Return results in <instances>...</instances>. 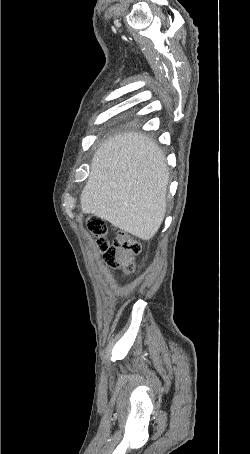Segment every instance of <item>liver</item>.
<instances>
[{
  "label": "liver",
  "instance_id": "6515ba94",
  "mask_svg": "<svg viewBox=\"0 0 250 454\" xmlns=\"http://www.w3.org/2000/svg\"><path fill=\"white\" fill-rule=\"evenodd\" d=\"M168 183L165 155L154 141L135 132L118 134L94 154L81 211L150 240L165 217Z\"/></svg>",
  "mask_w": 250,
  "mask_h": 454
}]
</instances>
